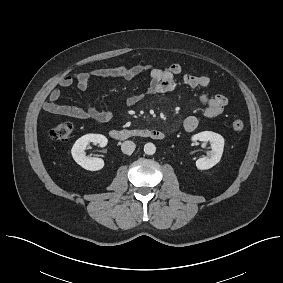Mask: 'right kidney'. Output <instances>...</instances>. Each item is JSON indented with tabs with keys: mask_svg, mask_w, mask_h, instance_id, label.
I'll list each match as a JSON object with an SVG mask.
<instances>
[{
	"mask_svg": "<svg viewBox=\"0 0 283 283\" xmlns=\"http://www.w3.org/2000/svg\"><path fill=\"white\" fill-rule=\"evenodd\" d=\"M90 142L99 144L100 147H105L108 140L101 134H86L74 143L71 154L75 162L82 168L90 171H98L104 167V160L98 157L86 156L85 149Z\"/></svg>",
	"mask_w": 283,
	"mask_h": 283,
	"instance_id": "obj_1",
	"label": "right kidney"
}]
</instances>
